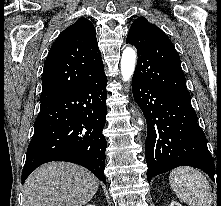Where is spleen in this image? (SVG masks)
Instances as JSON below:
<instances>
[{
  "instance_id": "3e777b00",
  "label": "spleen",
  "mask_w": 221,
  "mask_h": 206,
  "mask_svg": "<svg viewBox=\"0 0 221 206\" xmlns=\"http://www.w3.org/2000/svg\"><path fill=\"white\" fill-rule=\"evenodd\" d=\"M169 182L176 195L189 206H211V186L200 171L179 167L170 172Z\"/></svg>"
}]
</instances>
